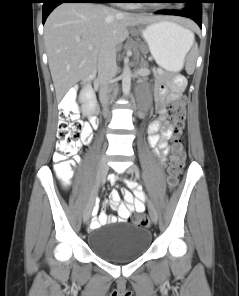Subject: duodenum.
Returning a JSON list of instances; mask_svg holds the SVG:
<instances>
[{
	"label": "duodenum",
	"mask_w": 239,
	"mask_h": 296,
	"mask_svg": "<svg viewBox=\"0 0 239 296\" xmlns=\"http://www.w3.org/2000/svg\"><path fill=\"white\" fill-rule=\"evenodd\" d=\"M94 79V73L90 74L89 76H87L84 79V83L86 85L90 84L92 82V80ZM96 110L93 111V115L90 118V122L92 124L93 127H97V119H96Z\"/></svg>",
	"instance_id": "obj_1"
}]
</instances>
